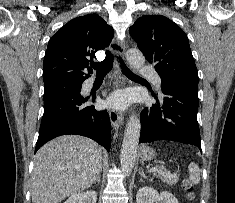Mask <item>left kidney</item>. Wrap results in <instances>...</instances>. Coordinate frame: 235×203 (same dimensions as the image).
Returning <instances> with one entry per match:
<instances>
[{"label": "left kidney", "instance_id": "left-kidney-1", "mask_svg": "<svg viewBox=\"0 0 235 203\" xmlns=\"http://www.w3.org/2000/svg\"><path fill=\"white\" fill-rule=\"evenodd\" d=\"M137 203H179L177 198L170 192L159 193L157 190L143 186L139 188L136 195Z\"/></svg>", "mask_w": 235, "mask_h": 203}]
</instances>
